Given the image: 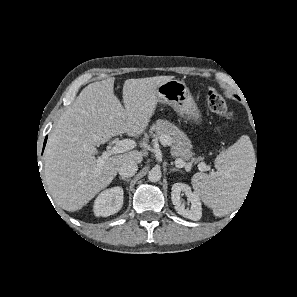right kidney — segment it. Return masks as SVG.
<instances>
[{
    "label": "right kidney",
    "mask_w": 297,
    "mask_h": 297,
    "mask_svg": "<svg viewBox=\"0 0 297 297\" xmlns=\"http://www.w3.org/2000/svg\"><path fill=\"white\" fill-rule=\"evenodd\" d=\"M123 194L119 186L102 191L94 201L95 216L107 217L117 213L123 205Z\"/></svg>",
    "instance_id": "1"
}]
</instances>
